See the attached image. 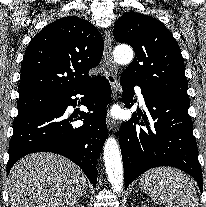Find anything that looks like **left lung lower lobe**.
Returning <instances> with one entry per match:
<instances>
[{
  "mask_svg": "<svg viewBox=\"0 0 206 207\" xmlns=\"http://www.w3.org/2000/svg\"><path fill=\"white\" fill-rule=\"evenodd\" d=\"M122 99L133 105V87L137 85L121 75ZM148 112H134L121 125L119 141L122 152L125 189L145 171L159 166L179 168L190 174L203 191L202 171L193 125L188 114L189 99L141 88ZM142 118L137 127L138 119ZM149 120L155 123L150 125Z\"/></svg>",
  "mask_w": 206,
  "mask_h": 207,
  "instance_id": "0a47b994",
  "label": "left lung lower lobe"
}]
</instances>
